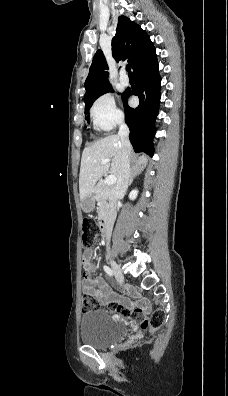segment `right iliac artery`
I'll return each instance as SVG.
<instances>
[{
  "label": "right iliac artery",
  "mask_w": 228,
  "mask_h": 396,
  "mask_svg": "<svg viewBox=\"0 0 228 396\" xmlns=\"http://www.w3.org/2000/svg\"><path fill=\"white\" fill-rule=\"evenodd\" d=\"M104 271L109 275V276H113V271L108 267V266H104L103 267Z\"/></svg>",
  "instance_id": "1"
}]
</instances>
